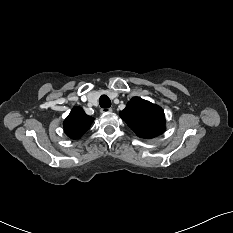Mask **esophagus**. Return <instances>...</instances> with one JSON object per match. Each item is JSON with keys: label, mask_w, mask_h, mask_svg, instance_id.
Instances as JSON below:
<instances>
[{"label": "esophagus", "mask_w": 233, "mask_h": 233, "mask_svg": "<svg viewBox=\"0 0 233 233\" xmlns=\"http://www.w3.org/2000/svg\"><path fill=\"white\" fill-rule=\"evenodd\" d=\"M112 112V108H103L101 109V113L106 114Z\"/></svg>", "instance_id": "esophagus-1"}]
</instances>
